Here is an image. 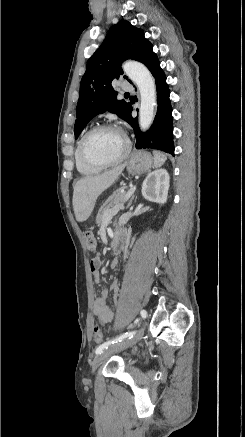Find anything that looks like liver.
<instances>
[{
  "mask_svg": "<svg viewBox=\"0 0 245 437\" xmlns=\"http://www.w3.org/2000/svg\"><path fill=\"white\" fill-rule=\"evenodd\" d=\"M125 165L96 176H86L77 181L73 191V209L78 222L86 221L93 209L97 198L118 179Z\"/></svg>",
  "mask_w": 245,
  "mask_h": 437,
  "instance_id": "1",
  "label": "liver"
}]
</instances>
